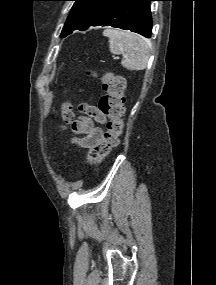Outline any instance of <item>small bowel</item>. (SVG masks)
Instances as JSON below:
<instances>
[{
  "mask_svg": "<svg viewBox=\"0 0 216 285\" xmlns=\"http://www.w3.org/2000/svg\"><path fill=\"white\" fill-rule=\"evenodd\" d=\"M81 110L85 114V117L78 120L73 128L77 133L83 135V137L78 140V143L82 147L91 148L100 141L103 135L102 129L96 127L94 121L103 123L105 116L94 106L83 105Z\"/></svg>",
  "mask_w": 216,
  "mask_h": 285,
  "instance_id": "small-bowel-1",
  "label": "small bowel"
}]
</instances>
